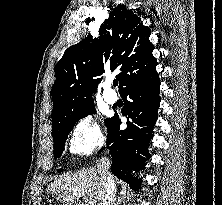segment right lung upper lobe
Segmentation results:
<instances>
[{"label": "right lung upper lobe", "instance_id": "right-lung-upper-lobe-1", "mask_svg": "<svg viewBox=\"0 0 222 205\" xmlns=\"http://www.w3.org/2000/svg\"><path fill=\"white\" fill-rule=\"evenodd\" d=\"M99 38L86 37L69 47L56 65L52 88V122L93 105L92 94L105 68L117 71L121 89L131 79L156 67L149 41L151 29L134 11L123 5L112 9L99 29Z\"/></svg>", "mask_w": 222, "mask_h": 205}]
</instances>
